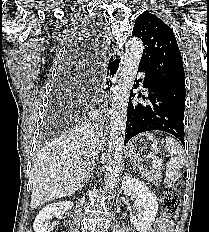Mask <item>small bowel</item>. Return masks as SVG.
I'll list each match as a JSON object with an SVG mask.
<instances>
[{
	"label": "small bowel",
	"mask_w": 209,
	"mask_h": 232,
	"mask_svg": "<svg viewBox=\"0 0 209 232\" xmlns=\"http://www.w3.org/2000/svg\"><path fill=\"white\" fill-rule=\"evenodd\" d=\"M148 232H171V226L168 222L159 219Z\"/></svg>",
	"instance_id": "c3829d8e"
}]
</instances>
